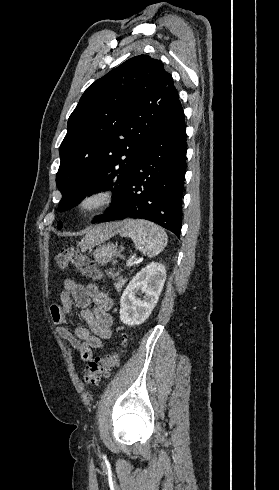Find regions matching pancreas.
<instances>
[{
    "label": "pancreas",
    "mask_w": 279,
    "mask_h": 490,
    "mask_svg": "<svg viewBox=\"0 0 279 490\" xmlns=\"http://www.w3.org/2000/svg\"><path fill=\"white\" fill-rule=\"evenodd\" d=\"M125 284V280H123V278H120L119 282H117V284H115L116 288H122V286H124Z\"/></svg>",
    "instance_id": "obj_1"
}]
</instances>
